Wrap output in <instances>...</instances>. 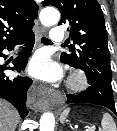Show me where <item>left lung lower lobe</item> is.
Listing matches in <instances>:
<instances>
[{
    "label": "left lung lower lobe",
    "mask_w": 117,
    "mask_h": 131,
    "mask_svg": "<svg viewBox=\"0 0 117 131\" xmlns=\"http://www.w3.org/2000/svg\"><path fill=\"white\" fill-rule=\"evenodd\" d=\"M90 87L79 95H67L66 103H91L109 108L116 115L112 90L88 80Z\"/></svg>",
    "instance_id": "1"
}]
</instances>
